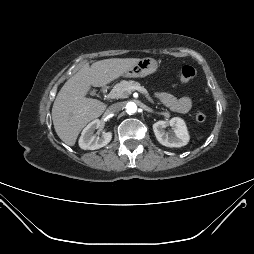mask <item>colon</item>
<instances>
[{
	"mask_svg": "<svg viewBox=\"0 0 254 254\" xmlns=\"http://www.w3.org/2000/svg\"><path fill=\"white\" fill-rule=\"evenodd\" d=\"M197 75L196 69L190 65H186L181 69L179 80L182 83H188L192 81ZM195 119L198 122H204L206 120L205 113L199 111L195 114Z\"/></svg>",
	"mask_w": 254,
	"mask_h": 254,
	"instance_id": "5ec220e1",
	"label": "colon"
}]
</instances>
